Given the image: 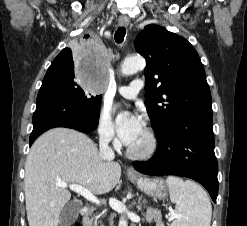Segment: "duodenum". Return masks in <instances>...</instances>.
<instances>
[{
	"label": "duodenum",
	"instance_id": "obj_1",
	"mask_svg": "<svg viewBox=\"0 0 247 226\" xmlns=\"http://www.w3.org/2000/svg\"><path fill=\"white\" fill-rule=\"evenodd\" d=\"M80 214L83 220H87L90 215V209L88 207H83L80 210Z\"/></svg>",
	"mask_w": 247,
	"mask_h": 226
}]
</instances>
